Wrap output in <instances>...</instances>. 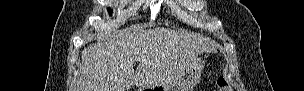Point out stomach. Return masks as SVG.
I'll return each instance as SVG.
<instances>
[{
  "mask_svg": "<svg viewBox=\"0 0 304 91\" xmlns=\"http://www.w3.org/2000/svg\"><path fill=\"white\" fill-rule=\"evenodd\" d=\"M205 60L203 57L195 56L188 65L181 71L180 74L172 81V85L178 88V91H192V89L199 82L201 73L204 69ZM144 90H159V91H170L168 84L155 86L153 88L139 89Z\"/></svg>",
  "mask_w": 304,
  "mask_h": 91,
  "instance_id": "stomach-1",
  "label": "stomach"
}]
</instances>
